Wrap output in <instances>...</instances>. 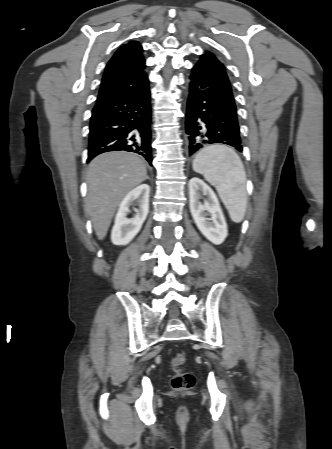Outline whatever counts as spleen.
<instances>
[{
    "instance_id": "1",
    "label": "spleen",
    "mask_w": 332,
    "mask_h": 449,
    "mask_svg": "<svg viewBox=\"0 0 332 449\" xmlns=\"http://www.w3.org/2000/svg\"><path fill=\"white\" fill-rule=\"evenodd\" d=\"M192 167L216 188L231 220L241 222L247 208L246 173L237 153L225 145H211L197 153Z\"/></svg>"
}]
</instances>
